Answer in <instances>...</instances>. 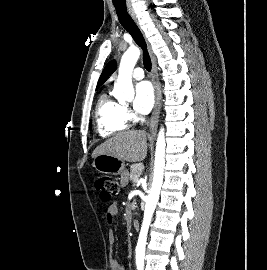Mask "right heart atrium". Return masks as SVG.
Segmentation results:
<instances>
[{"label":"right heart atrium","mask_w":267,"mask_h":270,"mask_svg":"<svg viewBox=\"0 0 267 270\" xmlns=\"http://www.w3.org/2000/svg\"><path fill=\"white\" fill-rule=\"evenodd\" d=\"M123 111H124V115L127 118H132L133 117L132 113L126 107L123 108Z\"/></svg>","instance_id":"right-heart-atrium-1"}]
</instances>
